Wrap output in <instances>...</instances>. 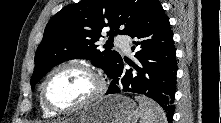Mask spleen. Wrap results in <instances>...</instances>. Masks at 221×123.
Wrapping results in <instances>:
<instances>
[{"mask_svg":"<svg viewBox=\"0 0 221 123\" xmlns=\"http://www.w3.org/2000/svg\"><path fill=\"white\" fill-rule=\"evenodd\" d=\"M135 100L139 103L140 123H168L165 112L156 102L141 96Z\"/></svg>","mask_w":221,"mask_h":123,"instance_id":"obj_1","label":"spleen"}]
</instances>
